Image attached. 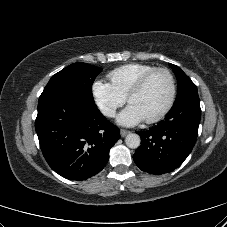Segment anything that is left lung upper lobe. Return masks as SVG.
<instances>
[{
    "label": "left lung upper lobe",
    "instance_id": "5c2ea615",
    "mask_svg": "<svg viewBox=\"0 0 227 227\" xmlns=\"http://www.w3.org/2000/svg\"><path fill=\"white\" fill-rule=\"evenodd\" d=\"M169 65L173 69L178 81V94L176 100L180 99L186 94L197 92L196 85L178 66L170 63Z\"/></svg>",
    "mask_w": 227,
    "mask_h": 227
}]
</instances>
